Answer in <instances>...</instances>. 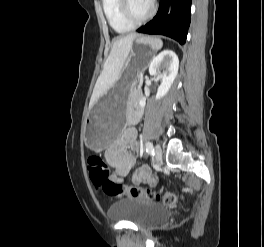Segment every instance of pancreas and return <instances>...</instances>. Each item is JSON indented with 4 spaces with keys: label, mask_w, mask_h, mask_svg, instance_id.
<instances>
[{
    "label": "pancreas",
    "mask_w": 264,
    "mask_h": 247,
    "mask_svg": "<svg viewBox=\"0 0 264 247\" xmlns=\"http://www.w3.org/2000/svg\"><path fill=\"white\" fill-rule=\"evenodd\" d=\"M139 96H140V85H138L137 87H134L130 91V97L132 98L134 102L138 100Z\"/></svg>",
    "instance_id": "obj_1"
}]
</instances>
